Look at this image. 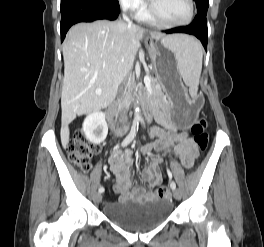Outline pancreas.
<instances>
[{
  "instance_id": "cf45deb5",
  "label": "pancreas",
  "mask_w": 264,
  "mask_h": 247,
  "mask_svg": "<svg viewBox=\"0 0 264 247\" xmlns=\"http://www.w3.org/2000/svg\"><path fill=\"white\" fill-rule=\"evenodd\" d=\"M150 81H151V87L153 90V97H148V99L153 102L154 106H157L160 102L163 101V93L160 87V82L158 79H155L151 76Z\"/></svg>"
}]
</instances>
